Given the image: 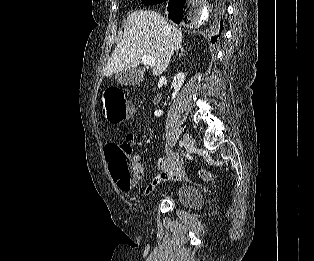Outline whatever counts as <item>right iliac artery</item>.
<instances>
[{"mask_svg":"<svg viewBox=\"0 0 314 261\" xmlns=\"http://www.w3.org/2000/svg\"><path fill=\"white\" fill-rule=\"evenodd\" d=\"M179 145H180L181 147H183V146H184V142H183V141H180V142H179Z\"/></svg>","mask_w":314,"mask_h":261,"instance_id":"obj_1","label":"right iliac artery"}]
</instances>
